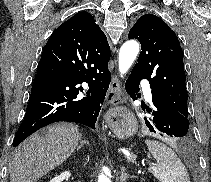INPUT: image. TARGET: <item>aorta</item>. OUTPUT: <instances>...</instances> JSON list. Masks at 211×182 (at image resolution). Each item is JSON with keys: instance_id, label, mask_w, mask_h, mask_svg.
I'll return each mask as SVG.
<instances>
[{"instance_id": "obj_1", "label": "aorta", "mask_w": 211, "mask_h": 182, "mask_svg": "<svg viewBox=\"0 0 211 182\" xmlns=\"http://www.w3.org/2000/svg\"><path fill=\"white\" fill-rule=\"evenodd\" d=\"M140 45L135 40L126 41L119 52V72L122 75L130 69L139 53ZM107 168H103V173L98 177V182H111V180L104 174Z\"/></svg>"}]
</instances>
